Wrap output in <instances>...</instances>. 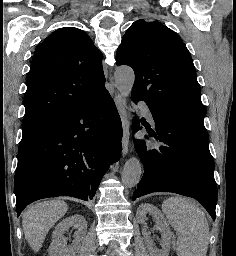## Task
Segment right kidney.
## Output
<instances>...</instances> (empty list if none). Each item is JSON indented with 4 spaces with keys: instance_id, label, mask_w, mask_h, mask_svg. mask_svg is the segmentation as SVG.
<instances>
[{
    "instance_id": "obj_1",
    "label": "right kidney",
    "mask_w": 236,
    "mask_h": 256,
    "mask_svg": "<svg viewBox=\"0 0 236 256\" xmlns=\"http://www.w3.org/2000/svg\"><path fill=\"white\" fill-rule=\"evenodd\" d=\"M69 228H75L73 244L67 246V238L63 234L68 232ZM87 224L85 218L80 214L70 216L62 220L56 226L52 234V242L49 248V256H79L80 250L85 242Z\"/></svg>"
}]
</instances>
